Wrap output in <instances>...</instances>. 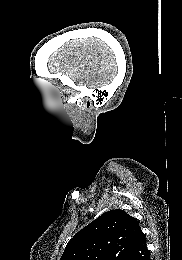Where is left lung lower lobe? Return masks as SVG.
Masks as SVG:
<instances>
[{
    "mask_svg": "<svg viewBox=\"0 0 182 260\" xmlns=\"http://www.w3.org/2000/svg\"><path fill=\"white\" fill-rule=\"evenodd\" d=\"M122 260H150V251L147 249L143 232L137 234Z\"/></svg>",
    "mask_w": 182,
    "mask_h": 260,
    "instance_id": "obj_1",
    "label": "left lung lower lobe"
}]
</instances>
